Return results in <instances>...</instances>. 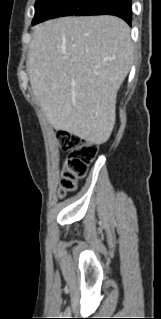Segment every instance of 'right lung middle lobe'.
<instances>
[{"instance_id":"dd1d6c3e","label":"right lung middle lobe","mask_w":161,"mask_h":319,"mask_svg":"<svg viewBox=\"0 0 161 319\" xmlns=\"http://www.w3.org/2000/svg\"><path fill=\"white\" fill-rule=\"evenodd\" d=\"M92 1L93 0H37L32 25L56 17L78 16Z\"/></svg>"}]
</instances>
